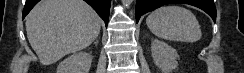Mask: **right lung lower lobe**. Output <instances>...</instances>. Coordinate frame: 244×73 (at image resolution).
<instances>
[{
    "label": "right lung lower lobe",
    "instance_id": "right-lung-lower-lobe-1",
    "mask_svg": "<svg viewBox=\"0 0 244 73\" xmlns=\"http://www.w3.org/2000/svg\"><path fill=\"white\" fill-rule=\"evenodd\" d=\"M40 0H26V4L23 10V18L30 12V10L39 2ZM86 1L105 21L107 26L109 19V10L111 0H84Z\"/></svg>",
    "mask_w": 244,
    "mask_h": 73
}]
</instances>
